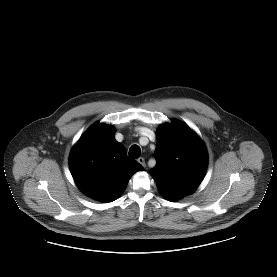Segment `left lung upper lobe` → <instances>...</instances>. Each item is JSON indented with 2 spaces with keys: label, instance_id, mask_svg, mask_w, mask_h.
Returning a JSON list of instances; mask_svg holds the SVG:
<instances>
[{
  "label": "left lung upper lobe",
  "instance_id": "obj_1",
  "mask_svg": "<svg viewBox=\"0 0 277 277\" xmlns=\"http://www.w3.org/2000/svg\"><path fill=\"white\" fill-rule=\"evenodd\" d=\"M156 165L151 174L167 199H180L201 183L208 162L200 138L184 123L173 120L157 131Z\"/></svg>",
  "mask_w": 277,
  "mask_h": 277
}]
</instances>
